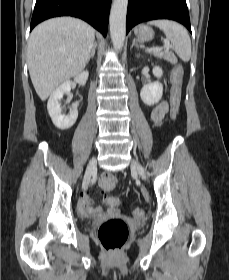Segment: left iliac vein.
I'll return each mask as SVG.
<instances>
[{
	"mask_svg": "<svg viewBox=\"0 0 229 280\" xmlns=\"http://www.w3.org/2000/svg\"><path fill=\"white\" fill-rule=\"evenodd\" d=\"M131 168L138 171L142 178H145V169L137 160L132 161Z\"/></svg>",
	"mask_w": 229,
	"mask_h": 280,
	"instance_id": "obj_1",
	"label": "left iliac vein"
}]
</instances>
